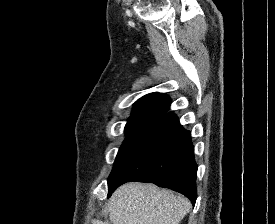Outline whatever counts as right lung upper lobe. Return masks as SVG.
I'll return each instance as SVG.
<instances>
[{"label": "right lung upper lobe", "instance_id": "right-lung-upper-lobe-1", "mask_svg": "<svg viewBox=\"0 0 275 224\" xmlns=\"http://www.w3.org/2000/svg\"><path fill=\"white\" fill-rule=\"evenodd\" d=\"M171 99L162 93H150L140 98L135 104L133 114L146 112L166 113L170 108Z\"/></svg>", "mask_w": 275, "mask_h": 224}]
</instances>
